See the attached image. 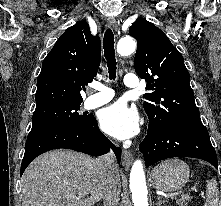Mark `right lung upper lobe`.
Returning <instances> with one entry per match:
<instances>
[{
  "label": "right lung upper lobe",
  "instance_id": "cb5924a9",
  "mask_svg": "<svg viewBox=\"0 0 221 206\" xmlns=\"http://www.w3.org/2000/svg\"><path fill=\"white\" fill-rule=\"evenodd\" d=\"M100 61V38L91 35L88 23L81 21L69 27L42 63L36 107L82 102L80 91L96 76Z\"/></svg>",
  "mask_w": 221,
  "mask_h": 206
}]
</instances>
